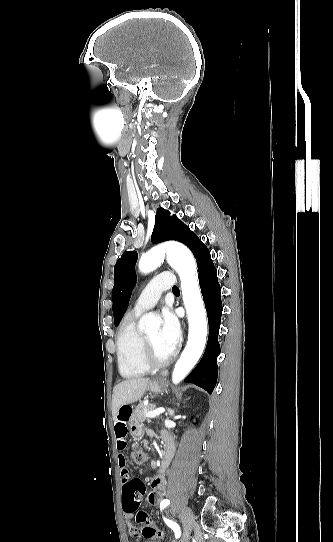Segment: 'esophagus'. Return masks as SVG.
Wrapping results in <instances>:
<instances>
[{
	"label": "esophagus",
	"mask_w": 333,
	"mask_h": 542,
	"mask_svg": "<svg viewBox=\"0 0 333 542\" xmlns=\"http://www.w3.org/2000/svg\"><path fill=\"white\" fill-rule=\"evenodd\" d=\"M167 374L168 370H162V372L160 373L161 377H166Z\"/></svg>",
	"instance_id": "esophagus-1"
}]
</instances>
